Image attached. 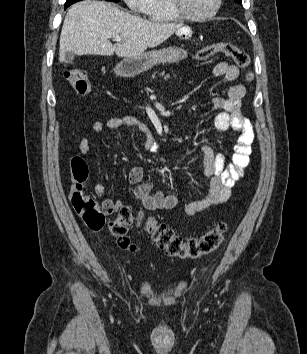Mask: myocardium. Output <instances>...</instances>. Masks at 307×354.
I'll return each instance as SVG.
<instances>
[{"instance_id":"f54148a6","label":"myocardium","mask_w":307,"mask_h":354,"mask_svg":"<svg viewBox=\"0 0 307 354\" xmlns=\"http://www.w3.org/2000/svg\"><path fill=\"white\" fill-rule=\"evenodd\" d=\"M169 1L172 10L180 19L196 21V22L207 21L212 19L219 12L222 5V0H216L213 9L209 13L204 15H192L186 11L184 6V0H169Z\"/></svg>"}]
</instances>
